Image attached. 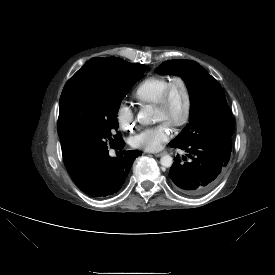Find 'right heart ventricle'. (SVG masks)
Returning a JSON list of instances; mask_svg holds the SVG:
<instances>
[{
    "mask_svg": "<svg viewBox=\"0 0 275 275\" xmlns=\"http://www.w3.org/2000/svg\"><path fill=\"white\" fill-rule=\"evenodd\" d=\"M170 76L168 75H154L144 79L134 89L133 95L140 106L154 105Z\"/></svg>",
    "mask_w": 275,
    "mask_h": 275,
    "instance_id": "right-heart-ventricle-1",
    "label": "right heart ventricle"
}]
</instances>
